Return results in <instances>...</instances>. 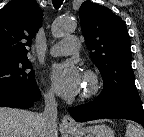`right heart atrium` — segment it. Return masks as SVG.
<instances>
[{
	"mask_svg": "<svg viewBox=\"0 0 144 137\" xmlns=\"http://www.w3.org/2000/svg\"><path fill=\"white\" fill-rule=\"evenodd\" d=\"M47 100H53L54 96L51 90H48L45 94Z\"/></svg>",
	"mask_w": 144,
	"mask_h": 137,
	"instance_id": "right-heart-atrium-1",
	"label": "right heart atrium"
}]
</instances>
